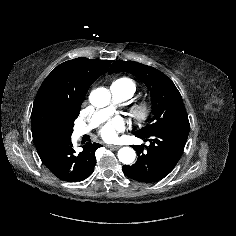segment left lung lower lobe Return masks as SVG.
Here are the masks:
<instances>
[{"label": "left lung lower lobe", "mask_w": 236, "mask_h": 236, "mask_svg": "<svg viewBox=\"0 0 236 236\" xmlns=\"http://www.w3.org/2000/svg\"><path fill=\"white\" fill-rule=\"evenodd\" d=\"M189 122L172 125L147 137H139L150 145H135L138 159L131 166L124 165L123 172L129 178L154 183L165 178L178 163L189 134Z\"/></svg>", "instance_id": "left-lung-lower-lobe-1"}]
</instances>
